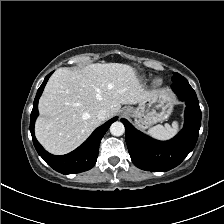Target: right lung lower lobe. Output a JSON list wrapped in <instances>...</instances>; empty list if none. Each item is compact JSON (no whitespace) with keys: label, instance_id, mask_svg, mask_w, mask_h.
I'll use <instances>...</instances> for the list:
<instances>
[{"label":"right lung lower lobe","instance_id":"obj_1","mask_svg":"<svg viewBox=\"0 0 224 224\" xmlns=\"http://www.w3.org/2000/svg\"><path fill=\"white\" fill-rule=\"evenodd\" d=\"M51 74L52 72L45 77L42 85L37 91L34 100L30 121V131L32 135L33 144L38 154L44 159V161L49 166H51L56 171L62 174H74L87 171L95 165L97 161L100 141L108 130V128L110 127V125L117 120V117L110 119L108 122L98 127L80 147H78L71 153L62 156H55L48 153L44 150V148L35 138L34 124L39 114L38 100Z\"/></svg>","mask_w":224,"mask_h":224}]
</instances>
